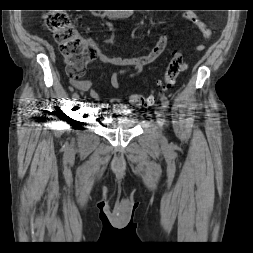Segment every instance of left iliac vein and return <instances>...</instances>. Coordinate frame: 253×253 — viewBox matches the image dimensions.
I'll use <instances>...</instances> for the list:
<instances>
[{"label":"left iliac vein","instance_id":"left-iliac-vein-1","mask_svg":"<svg viewBox=\"0 0 253 253\" xmlns=\"http://www.w3.org/2000/svg\"><path fill=\"white\" fill-rule=\"evenodd\" d=\"M157 117H158V126L160 128V136L162 139H164V136L162 134V128H163V124H164V120L162 119V113L160 111V108H158V111L156 113Z\"/></svg>","mask_w":253,"mask_h":253}]
</instances>
